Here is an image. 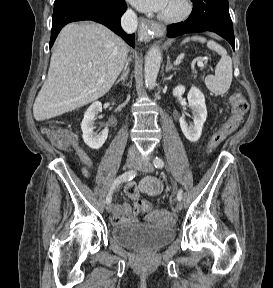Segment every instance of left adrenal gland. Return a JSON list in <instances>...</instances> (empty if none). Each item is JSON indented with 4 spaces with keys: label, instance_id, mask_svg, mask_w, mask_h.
Masks as SVG:
<instances>
[{
    "label": "left adrenal gland",
    "instance_id": "1",
    "mask_svg": "<svg viewBox=\"0 0 273 288\" xmlns=\"http://www.w3.org/2000/svg\"><path fill=\"white\" fill-rule=\"evenodd\" d=\"M170 70H174L176 71L177 69L175 67H173V65L171 64L170 60H167V66H166V72L170 71Z\"/></svg>",
    "mask_w": 273,
    "mask_h": 288
}]
</instances>
